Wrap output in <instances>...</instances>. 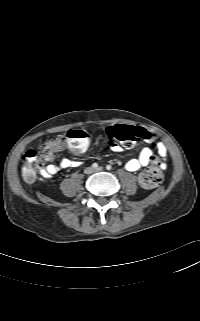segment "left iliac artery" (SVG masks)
<instances>
[{"instance_id":"1","label":"left iliac artery","mask_w":200,"mask_h":321,"mask_svg":"<svg viewBox=\"0 0 200 321\" xmlns=\"http://www.w3.org/2000/svg\"><path fill=\"white\" fill-rule=\"evenodd\" d=\"M111 168H112L111 165H107V166H106V169H107V170H111Z\"/></svg>"}]
</instances>
